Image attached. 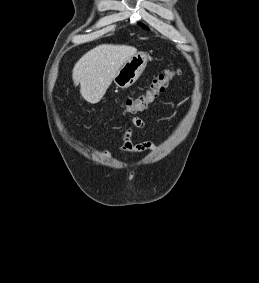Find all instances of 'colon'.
Returning <instances> with one entry per match:
<instances>
[{"instance_id": "1", "label": "colon", "mask_w": 259, "mask_h": 283, "mask_svg": "<svg viewBox=\"0 0 259 283\" xmlns=\"http://www.w3.org/2000/svg\"><path fill=\"white\" fill-rule=\"evenodd\" d=\"M178 73L176 69H167L160 73L152 83L148 90L134 98H128L123 101L122 107L127 113H136L145 110L169 85L172 78Z\"/></svg>"}]
</instances>
